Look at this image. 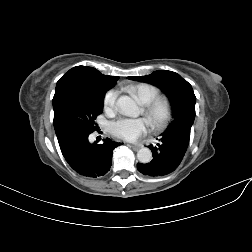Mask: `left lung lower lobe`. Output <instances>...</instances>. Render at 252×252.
<instances>
[{"label":"left lung lower lobe","mask_w":252,"mask_h":252,"mask_svg":"<svg viewBox=\"0 0 252 252\" xmlns=\"http://www.w3.org/2000/svg\"><path fill=\"white\" fill-rule=\"evenodd\" d=\"M190 132V127L180 126L162 133L160 143L157 146H149L153 159L149 163H138V171L150 177L164 176L173 172L186 153Z\"/></svg>","instance_id":"obj_1"}]
</instances>
